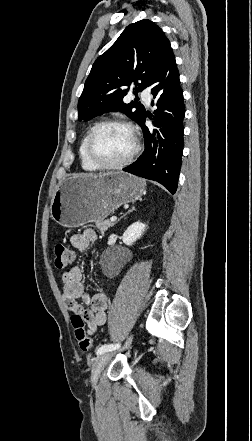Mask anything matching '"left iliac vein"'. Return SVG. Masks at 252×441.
Returning <instances> with one entry per match:
<instances>
[{
	"instance_id": "obj_1",
	"label": "left iliac vein",
	"mask_w": 252,
	"mask_h": 441,
	"mask_svg": "<svg viewBox=\"0 0 252 441\" xmlns=\"http://www.w3.org/2000/svg\"><path fill=\"white\" fill-rule=\"evenodd\" d=\"M131 341H132V337H129V339L127 340L126 346H129ZM112 355H113L112 353L107 352V353L101 354L96 359V362L92 368V373H91V382L93 384H96L98 382L103 368L108 363V361L111 359Z\"/></svg>"
}]
</instances>
